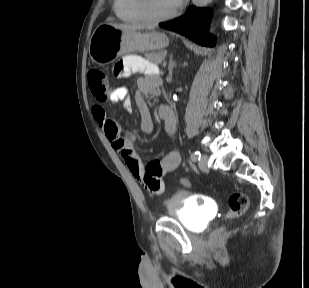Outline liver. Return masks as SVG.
<instances>
[{"mask_svg":"<svg viewBox=\"0 0 309 288\" xmlns=\"http://www.w3.org/2000/svg\"><path fill=\"white\" fill-rule=\"evenodd\" d=\"M112 25L122 27L124 29H132V30H141L145 28L143 25H126V24H116V23Z\"/></svg>","mask_w":309,"mask_h":288,"instance_id":"1","label":"liver"}]
</instances>
